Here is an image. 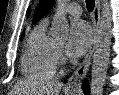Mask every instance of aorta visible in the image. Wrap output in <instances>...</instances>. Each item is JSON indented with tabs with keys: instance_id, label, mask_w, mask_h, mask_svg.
<instances>
[{
	"instance_id": "1",
	"label": "aorta",
	"mask_w": 119,
	"mask_h": 95,
	"mask_svg": "<svg viewBox=\"0 0 119 95\" xmlns=\"http://www.w3.org/2000/svg\"><path fill=\"white\" fill-rule=\"evenodd\" d=\"M68 2L69 0L57 1V10L52 23V32L56 37L66 38L68 36L69 24L64 11ZM111 29L112 19L110 5L108 0H103L101 20L93 55L90 95H103L110 57Z\"/></svg>"
}]
</instances>
